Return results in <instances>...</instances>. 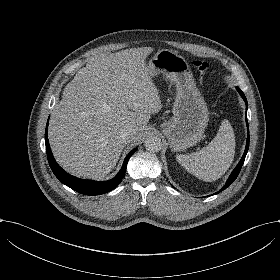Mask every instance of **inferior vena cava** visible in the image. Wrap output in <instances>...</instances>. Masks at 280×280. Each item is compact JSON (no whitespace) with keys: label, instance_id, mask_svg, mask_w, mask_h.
<instances>
[{"label":"inferior vena cava","instance_id":"1","mask_svg":"<svg viewBox=\"0 0 280 280\" xmlns=\"http://www.w3.org/2000/svg\"><path fill=\"white\" fill-rule=\"evenodd\" d=\"M119 136L124 143H129L133 140V133L126 129L120 130Z\"/></svg>","mask_w":280,"mask_h":280}]
</instances>
